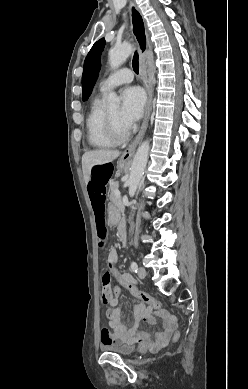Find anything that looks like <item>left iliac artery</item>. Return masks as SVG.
<instances>
[{"instance_id":"44dca946","label":"left iliac artery","mask_w":248,"mask_h":389,"mask_svg":"<svg viewBox=\"0 0 248 389\" xmlns=\"http://www.w3.org/2000/svg\"><path fill=\"white\" fill-rule=\"evenodd\" d=\"M131 270L135 273H137V270H138V266H137V263L136 262H132L131 263Z\"/></svg>"}]
</instances>
